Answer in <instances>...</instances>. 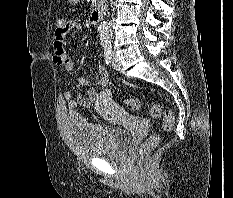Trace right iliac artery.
<instances>
[{"instance_id": "right-iliac-artery-1", "label": "right iliac artery", "mask_w": 233, "mask_h": 198, "mask_svg": "<svg viewBox=\"0 0 233 198\" xmlns=\"http://www.w3.org/2000/svg\"><path fill=\"white\" fill-rule=\"evenodd\" d=\"M103 47H104V57H105V61H106V64L108 65L111 60H112V46L110 43L106 42L103 44Z\"/></svg>"}]
</instances>
